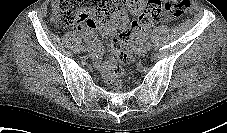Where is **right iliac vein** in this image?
Instances as JSON below:
<instances>
[{
    "instance_id": "obj_1",
    "label": "right iliac vein",
    "mask_w": 227,
    "mask_h": 133,
    "mask_svg": "<svg viewBox=\"0 0 227 133\" xmlns=\"http://www.w3.org/2000/svg\"><path fill=\"white\" fill-rule=\"evenodd\" d=\"M93 50L92 46H85L83 51H88V52H91Z\"/></svg>"
}]
</instances>
